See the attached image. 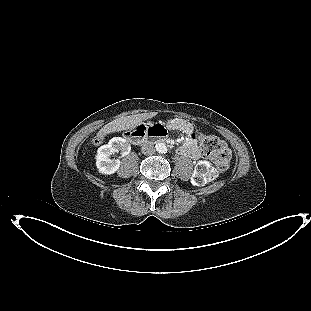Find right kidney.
<instances>
[{"instance_id":"ca27d5eb","label":"right kidney","mask_w":311,"mask_h":311,"mask_svg":"<svg viewBox=\"0 0 311 311\" xmlns=\"http://www.w3.org/2000/svg\"><path fill=\"white\" fill-rule=\"evenodd\" d=\"M131 151V145L122 137L112 138L108 144L98 148L96 154V167L98 172L104 175L114 174L120 167V160L111 159L115 153L122 152L127 155Z\"/></svg>"}]
</instances>
